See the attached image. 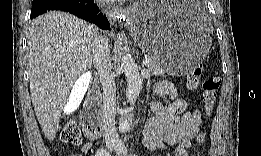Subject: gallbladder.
Instances as JSON below:
<instances>
[{
	"instance_id": "gallbladder-1",
	"label": "gallbladder",
	"mask_w": 261,
	"mask_h": 156,
	"mask_svg": "<svg viewBox=\"0 0 261 156\" xmlns=\"http://www.w3.org/2000/svg\"><path fill=\"white\" fill-rule=\"evenodd\" d=\"M91 77L90 72H86L78 77L74 85H72L69 99L65 102V109L62 110L63 114H71L79 108L78 105L82 102L84 95H86L85 92H87V89H89L88 85L90 84Z\"/></svg>"
}]
</instances>
